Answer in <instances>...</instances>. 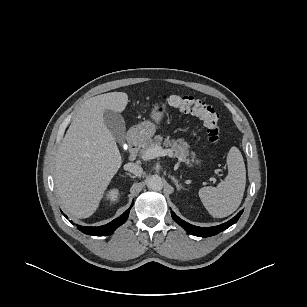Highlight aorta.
Here are the masks:
<instances>
[{
	"label": "aorta",
	"instance_id": "aorta-1",
	"mask_svg": "<svg viewBox=\"0 0 307 307\" xmlns=\"http://www.w3.org/2000/svg\"><path fill=\"white\" fill-rule=\"evenodd\" d=\"M147 187L153 191H160L163 188L162 179L158 175H152L147 179Z\"/></svg>",
	"mask_w": 307,
	"mask_h": 307
}]
</instances>
